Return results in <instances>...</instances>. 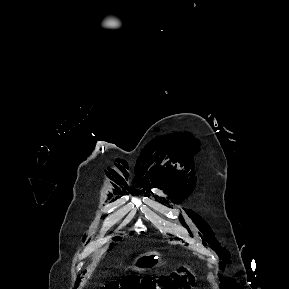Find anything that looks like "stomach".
Instances as JSON below:
<instances>
[{
	"mask_svg": "<svg viewBox=\"0 0 289 289\" xmlns=\"http://www.w3.org/2000/svg\"><path fill=\"white\" fill-rule=\"evenodd\" d=\"M159 261V256L155 252L143 254L136 258L131 268L138 272L148 270L151 266L155 265Z\"/></svg>",
	"mask_w": 289,
	"mask_h": 289,
	"instance_id": "0dacf381",
	"label": "stomach"
}]
</instances>
